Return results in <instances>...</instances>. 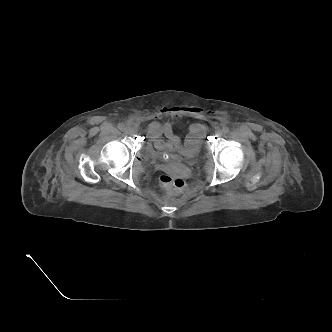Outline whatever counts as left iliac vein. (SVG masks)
Segmentation results:
<instances>
[{"instance_id":"left-iliac-vein-1","label":"left iliac vein","mask_w":332,"mask_h":332,"mask_svg":"<svg viewBox=\"0 0 332 332\" xmlns=\"http://www.w3.org/2000/svg\"><path fill=\"white\" fill-rule=\"evenodd\" d=\"M216 134H217L218 136H221V135L223 134V131L219 129V130L216 131Z\"/></svg>"}]
</instances>
